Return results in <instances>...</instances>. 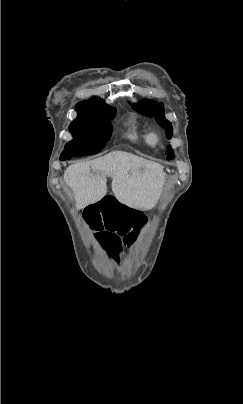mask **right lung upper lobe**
Wrapping results in <instances>:
<instances>
[{
	"label": "right lung upper lobe",
	"instance_id": "right-lung-upper-lobe-1",
	"mask_svg": "<svg viewBox=\"0 0 243 404\" xmlns=\"http://www.w3.org/2000/svg\"><path fill=\"white\" fill-rule=\"evenodd\" d=\"M110 109L113 108L104 104V101L98 97H93L88 101L79 102L76 105L78 116L95 115L106 112Z\"/></svg>",
	"mask_w": 243,
	"mask_h": 404
}]
</instances>
